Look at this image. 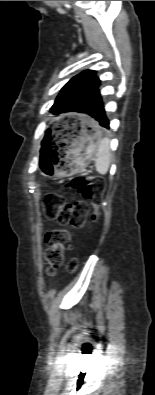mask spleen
<instances>
[{
	"instance_id": "1",
	"label": "spleen",
	"mask_w": 155,
	"mask_h": 395,
	"mask_svg": "<svg viewBox=\"0 0 155 395\" xmlns=\"http://www.w3.org/2000/svg\"><path fill=\"white\" fill-rule=\"evenodd\" d=\"M111 160L110 140L109 138H102L99 141L98 151L95 155L96 170L100 174H106L109 169Z\"/></svg>"
}]
</instances>
